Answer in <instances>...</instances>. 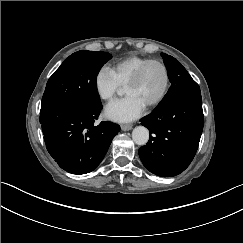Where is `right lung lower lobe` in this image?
Masks as SVG:
<instances>
[{
	"mask_svg": "<svg viewBox=\"0 0 243 243\" xmlns=\"http://www.w3.org/2000/svg\"><path fill=\"white\" fill-rule=\"evenodd\" d=\"M101 109V104L67 102L40 113L47 150L65 171L86 174L104 158L120 127L111 122L94 125Z\"/></svg>",
	"mask_w": 243,
	"mask_h": 243,
	"instance_id": "obj_1",
	"label": "right lung lower lobe"
}]
</instances>
